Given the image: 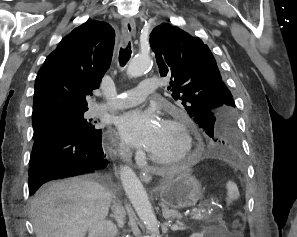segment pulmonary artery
I'll use <instances>...</instances> for the list:
<instances>
[{
    "label": "pulmonary artery",
    "instance_id": "1",
    "mask_svg": "<svg viewBox=\"0 0 297 237\" xmlns=\"http://www.w3.org/2000/svg\"><path fill=\"white\" fill-rule=\"evenodd\" d=\"M159 83L157 78L146 77L137 88L119 94L114 100L96 105V111L119 110L138 105L157 90Z\"/></svg>",
    "mask_w": 297,
    "mask_h": 237
}]
</instances>
